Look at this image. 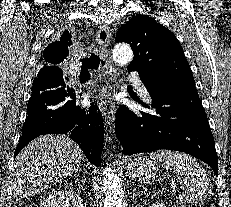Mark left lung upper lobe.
Returning <instances> with one entry per match:
<instances>
[{"label": "left lung upper lobe", "mask_w": 231, "mask_h": 207, "mask_svg": "<svg viewBox=\"0 0 231 207\" xmlns=\"http://www.w3.org/2000/svg\"><path fill=\"white\" fill-rule=\"evenodd\" d=\"M116 42L129 43L134 58L129 71L157 76L161 91L175 94L196 89L192 71L175 35L147 15L133 16L116 33Z\"/></svg>", "instance_id": "left-lung-upper-lobe-1"}]
</instances>
